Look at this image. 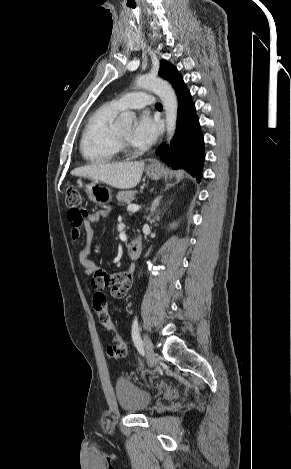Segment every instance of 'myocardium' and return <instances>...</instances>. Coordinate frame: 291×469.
<instances>
[{
    "instance_id": "myocardium-1",
    "label": "myocardium",
    "mask_w": 291,
    "mask_h": 469,
    "mask_svg": "<svg viewBox=\"0 0 291 469\" xmlns=\"http://www.w3.org/2000/svg\"><path fill=\"white\" fill-rule=\"evenodd\" d=\"M115 137H116L117 144H118L120 150H123V151H130L131 150L129 140L126 139L125 137H123L122 135H120L117 130H115Z\"/></svg>"
}]
</instances>
